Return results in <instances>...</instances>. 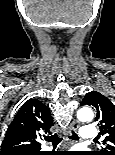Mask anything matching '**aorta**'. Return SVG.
I'll return each instance as SVG.
<instances>
[{
	"instance_id": "obj_1",
	"label": "aorta",
	"mask_w": 115,
	"mask_h": 155,
	"mask_svg": "<svg viewBox=\"0 0 115 155\" xmlns=\"http://www.w3.org/2000/svg\"><path fill=\"white\" fill-rule=\"evenodd\" d=\"M94 117V113L90 107H82L77 112V118L81 122H90Z\"/></svg>"
}]
</instances>
